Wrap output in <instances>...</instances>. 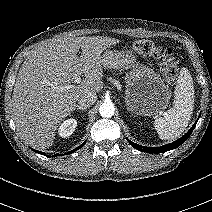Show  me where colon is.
<instances>
[{"instance_id": "5ec220e1", "label": "colon", "mask_w": 212, "mask_h": 212, "mask_svg": "<svg viewBox=\"0 0 212 212\" xmlns=\"http://www.w3.org/2000/svg\"><path fill=\"white\" fill-rule=\"evenodd\" d=\"M132 48L140 54L155 58L169 82H174L178 76V59L173 56L169 48H164L151 40H139L132 44Z\"/></svg>"}]
</instances>
